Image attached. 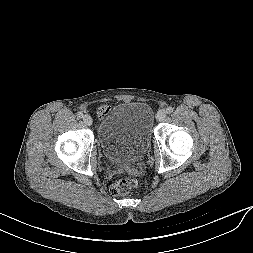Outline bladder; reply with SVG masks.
<instances>
[{
	"mask_svg": "<svg viewBox=\"0 0 253 253\" xmlns=\"http://www.w3.org/2000/svg\"><path fill=\"white\" fill-rule=\"evenodd\" d=\"M154 113L145 102H121L103 117L98 138L103 155L117 165L138 161L147 150Z\"/></svg>",
	"mask_w": 253,
	"mask_h": 253,
	"instance_id": "obj_1",
	"label": "bladder"
}]
</instances>
